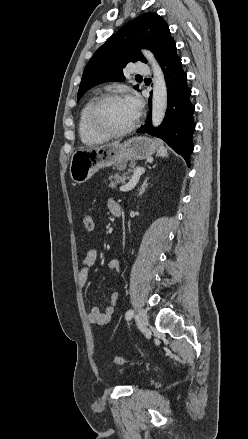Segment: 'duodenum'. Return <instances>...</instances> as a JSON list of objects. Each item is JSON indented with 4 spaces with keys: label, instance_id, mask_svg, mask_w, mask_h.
I'll return each mask as SVG.
<instances>
[{
    "label": "duodenum",
    "instance_id": "410a0bca",
    "mask_svg": "<svg viewBox=\"0 0 248 439\" xmlns=\"http://www.w3.org/2000/svg\"><path fill=\"white\" fill-rule=\"evenodd\" d=\"M121 213H122V210H121L120 206H118L113 212L114 216H116V217H120Z\"/></svg>",
    "mask_w": 248,
    "mask_h": 439
}]
</instances>
